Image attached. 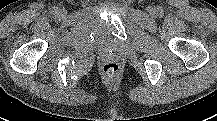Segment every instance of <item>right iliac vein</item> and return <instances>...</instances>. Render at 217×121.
<instances>
[{
	"mask_svg": "<svg viewBox=\"0 0 217 121\" xmlns=\"http://www.w3.org/2000/svg\"><path fill=\"white\" fill-rule=\"evenodd\" d=\"M64 14H65V11L61 10L60 15H64Z\"/></svg>",
	"mask_w": 217,
	"mask_h": 121,
	"instance_id": "63e3f726",
	"label": "right iliac vein"
}]
</instances>
